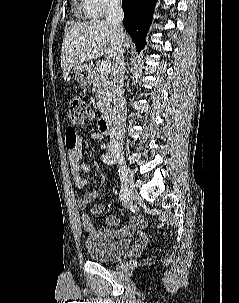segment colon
<instances>
[{
    "instance_id": "colon-1",
    "label": "colon",
    "mask_w": 239,
    "mask_h": 303,
    "mask_svg": "<svg viewBox=\"0 0 239 303\" xmlns=\"http://www.w3.org/2000/svg\"><path fill=\"white\" fill-rule=\"evenodd\" d=\"M90 108L87 102L80 96H73L69 100V121L76 123L88 117Z\"/></svg>"
}]
</instances>
